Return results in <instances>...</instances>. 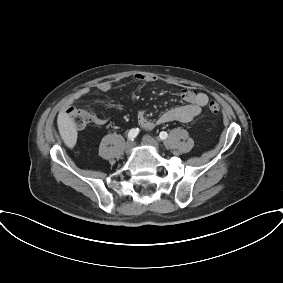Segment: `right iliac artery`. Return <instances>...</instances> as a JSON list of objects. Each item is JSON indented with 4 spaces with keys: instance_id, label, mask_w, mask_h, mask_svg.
Listing matches in <instances>:
<instances>
[{
    "instance_id": "right-iliac-artery-1",
    "label": "right iliac artery",
    "mask_w": 283,
    "mask_h": 283,
    "mask_svg": "<svg viewBox=\"0 0 283 283\" xmlns=\"http://www.w3.org/2000/svg\"><path fill=\"white\" fill-rule=\"evenodd\" d=\"M138 134H139V129L133 128L128 133V139L134 140Z\"/></svg>"
}]
</instances>
